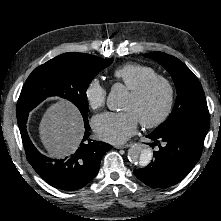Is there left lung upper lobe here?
<instances>
[{
    "label": "left lung upper lobe",
    "mask_w": 221,
    "mask_h": 221,
    "mask_svg": "<svg viewBox=\"0 0 221 221\" xmlns=\"http://www.w3.org/2000/svg\"><path fill=\"white\" fill-rule=\"evenodd\" d=\"M145 57L161 64L171 74L177 89L173 111L153 132L161 135L189 132L205 138L210 117L198 78L179 59L166 53L153 52L145 54Z\"/></svg>",
    "instance_id": "5c2ea615"
}]
</instances>
